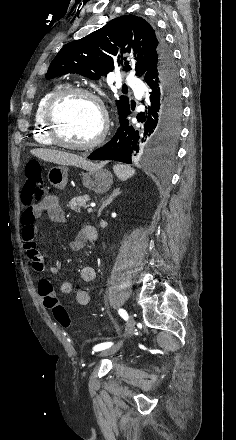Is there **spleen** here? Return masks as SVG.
<instances>
[{
    "label": "spleen",
    "instance_id": "1",
    "mask_svg": "<svg viewBox=\"0 0 236 440\" xmlns=\"http://www.w3.org/2000/svg\"><path fill=\"white\" fill-rule=\"evenodd\" d=\"M113 170L116 176L122 181H126L127 179L132 177L136 172L134 168L125 164H115L113 166Z\"/></svg>",
    "mask_w": 236,
    "mask_h": 440
}]
</instances>
